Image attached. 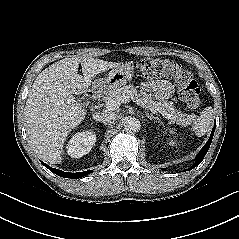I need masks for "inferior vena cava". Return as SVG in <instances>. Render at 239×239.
Here are the masks:
<instances>
[{"label": "inferior vena cava", "instance_id": "obj_1", "mask_svg": "<svg viewBox=\"0 0 239 239\" xmlns=\"http://www.w3.org/2000/svg\"><path fill=\"white\" fill-rule=\"evenodd\" d=\"M93 118L98 122L109 125L112 124L117 119V116L113 112H108V113H98L94 115Z\"/></svg>", "mask_w": 239, "mask_h": 239}]
</instances>
